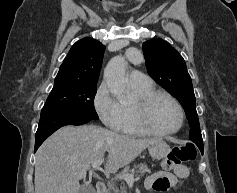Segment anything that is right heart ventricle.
<instances>
[{
    "instance_id": "1",
    "label": "right heart ventricle",
    "mask_w": 237,
    "mask_h": 193,
    "mask_svg": "<svg viewBox=\"0 0 237 193\" xmlns=\"http://www.w3.org/2000/svg\"><path fill=\"white\" fill-rule=\"evenodd\" d=\"M132 90L136 95L137 99L145 97L146 95L154 92V88L152 85L144 87H136L132 85ZM132 107L133 106L122 105L123 122L119 132L128 135H146L135 125Z\"/></svg>"
}]
</instances>
